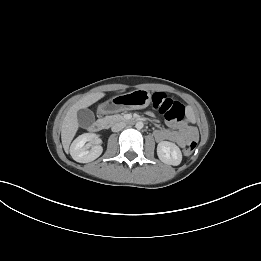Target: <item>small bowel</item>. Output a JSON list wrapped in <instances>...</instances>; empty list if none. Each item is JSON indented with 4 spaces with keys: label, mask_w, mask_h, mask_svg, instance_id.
<instances>
[{
    "label": "small bowel",
    "mask_w": 261,
    "mask_h": 261,
    "mask_svg": "<svg viewBox=\"0 0 261 261\" xmlns=\"http://www.w3.org/2000/svg\"><path fill=\"white\" fill-rule=\"evenodd\" d=\"M171 129L157 130L154 137L157 141L169 140L177 143L181 148L197 138V132L194 128L186 127L180 124L171 123Z\"/></svg>",
    "instance_id": "small-bowel-1"
}]
</instances>
